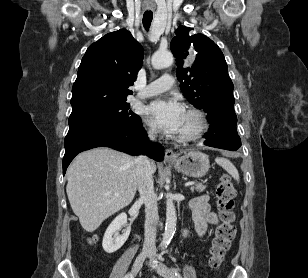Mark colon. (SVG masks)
Listing matches in <instances>:
<instances>
[{
  "label": "colon",
  "mask_w": 308,
  "mask_h": 278,
  "mask_svg": "<svg viewBox=\"0 0 308 278\" xmlns=\"http://www.w3.org/2000/svg\"><path fill=\"white\" fill-rule=\"evenodd\" d=\"M235 190L228 175H223L216 188V198L219 210L220 223L216 227L209 250V265L217 269L224 261L225 254L235 237L234 225Z\"/></svg>",
  "instance_id": "1"
}]
</instances>
